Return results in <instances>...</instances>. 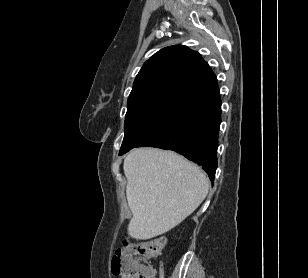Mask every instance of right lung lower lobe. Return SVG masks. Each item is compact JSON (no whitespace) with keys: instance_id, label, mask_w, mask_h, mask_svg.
<instances>
[{"instance_id":"right-lung-lower-lobe-1","label":"right lung lower lobe","mask_w":308,"mask_h":278,"mask_svg":"<svg viewBox=\"0 0 308 278\" xmlns=\"http://www.w3.org/2000/svg\"><path fill=\"white\" fill-rule=\"evenodd\" d=\"M220 123L221 99L218 90L177 113L162 129L136 147L176 151L203 166L213 182Z\"/></svg>"}]
</instances>
